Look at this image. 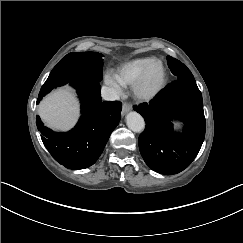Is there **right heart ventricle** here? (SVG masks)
Masks as SVG:
<instances>
[{"mask_svg": "<svg viewBox=\"0 0 243 243\" xmlns=\"http://www.w3.org/2000/svg\"><path fill=\"white\" fill-rule=\"evenodd\" d=\"M160 60L157 57H136L120 62L116 68V75L125 88H133L146 68Z\"/></svg>", "mask_w": 243, "mask_h": 243, "instance_id": "right-heart-ventricle-1", "label": "right heart ventricle"}]
</instances>
